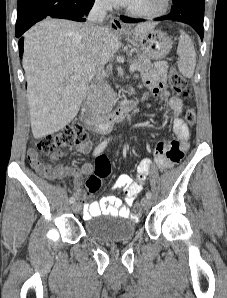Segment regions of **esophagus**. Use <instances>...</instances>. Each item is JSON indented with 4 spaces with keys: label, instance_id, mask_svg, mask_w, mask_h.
<instances>
[{
    "label": "esophagus",
    "instance_id": "obj_1",
    "mask_svg": "<svg viewBox=\"0 0 227 298\" xmlns=\"http://www.w3.org/2000/svg\"><path fill=\"white\" fill-rule=\"evenodd\" d=\"M110 27L115 31H123L124 30V26H123L122 22L116 16L110 17Z\"/></svg>",
    "mask_w": 227,
    "mask_h": 298
}]
</instances>
